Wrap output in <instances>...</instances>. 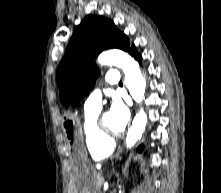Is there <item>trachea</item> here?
I'll return each instance as SVG.
<instances>
[{"instance_id": "obj_1", "label": "trachea", "mask_w": 221, "mask_h": 193, "mask_svg": "<svg viewBox=\"0 0 221 193\" xmlns=\"http://www.w3.org/2000/svg\"><path fill=\"white\" fill-rule=\"evenodd\" d=\"M121 84H122V81H120L119 85H121Z\"/></svg>"}]
</instances>
